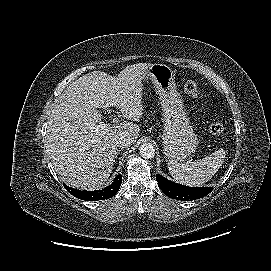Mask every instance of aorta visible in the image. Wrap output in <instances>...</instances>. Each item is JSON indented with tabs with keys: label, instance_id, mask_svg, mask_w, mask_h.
Masks as SVG:
<instances>
[{
	"label": "aorta",
	"instance_id": "aorta-1",
	"mask_svg": "<svg viewBox=\"0 0 271 271\" xmlns=\"http://www.w3.org/2000/svg\"><path fill=\"white\" fill-rule=\"evenodd\" d=\"M139 152L144 159H152L155 155V149L150 143H143L139 148Z\"/></svg>",
	"mask_w": 271,
	"mask_h": 271
}]
</instances>
